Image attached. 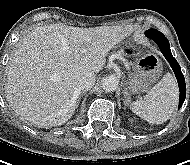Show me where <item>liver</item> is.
<instances>
[{"instance_id":"liver-1","label":"liver","mask_w":190,"mask_h":165,"mask_svg":"<svg viewBox=\"0 0 190 165\" xmlns=\"http://www.w3.org/2000/svg\"><path fill=\"white\" fill-rule=\"evenodd\" d=\"M136 28L37 27L23 38L9 62L5 84L8 103L18 116L36 126L64 124L75 112L77 76L101 71L108 52ZM82 48L88 51L81 53Z\"/></svg>"}]
</instances>
